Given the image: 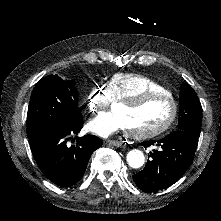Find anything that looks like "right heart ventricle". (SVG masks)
<instances>
[{"instance_id":"1","label":"right heart ventricle","mask_w":221,"mask_h":221,"mask_svg":"<svg viewBox=\"0 0 221 221\" xmlns=\"http://www.w3.org/2000/svg\"><path fill=\"white\" fill-rule=\"evenodd\" d=\"M121 83L120 94L122 99H131L132 96H137L147 91L152 93L159 91L164 96L169 94L165 85L146 76H127L122 79Z\"/></svg>"}]
</instances>
